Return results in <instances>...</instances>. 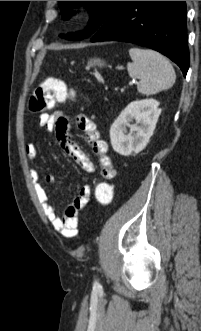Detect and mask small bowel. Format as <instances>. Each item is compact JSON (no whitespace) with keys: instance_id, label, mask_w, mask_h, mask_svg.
<instances>
[{"instance_id":"small-bowel-1","label":"small bowel","mask_w":201,"mask_h":331,"mask_svg":"<svg viewBox=\"0 0 201 331\" xmlns=\"http://www.w3.org/2000/svg\"><path fill=\"white\" fill-rule=\"evenodd\" d=\"M75 124L86 137V141L99 160V173L105 180H111L116 175V170L108 154V145L101 139L97 125L86 115L76 116ZM39 125L49 132H54L56 139L64 152L71 157L84 171L92 173L95 171V165L90 158L81 150V148L70 138V120L61 110L53 113H44L39 117ZM26 156L30 161L37 159V149L33 144L25 147ZM34 189L38 200L42 204L43 211L47 219L51 222L54 229L67 238H73L78 232V214L87 205L91 197V188L89 185H83L78 195L68 205L64 216H58L56 208L49 203L47 191L42 183L40 173L32 169L30 171ZM45 181L54 182L53 176H47Z\"/></svg>"}]
</instances>
